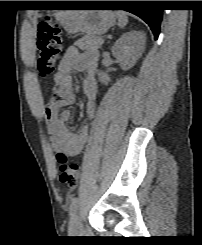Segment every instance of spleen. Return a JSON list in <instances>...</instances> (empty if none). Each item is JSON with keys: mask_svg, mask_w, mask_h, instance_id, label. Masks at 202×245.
Returning a JSON list of instances; mask_svg holds the SVG:
<instances>
[{"mask_svg": "<svg viewBox=\"0 0 202 245\" xmlns=\"http://www.w3.org/2000/svg\"><path fill=\"white\" fill-rule=\"evenodd\" d=\"M116 16L118 18V26L120 28H124L126 24L128 23V18L126 16V13L123 11H117Z\"/></svg>", "mask_w": 202, "mask_h": 245, "instance_id": "spleen-1", "label": "spleen"}]
</instances>
